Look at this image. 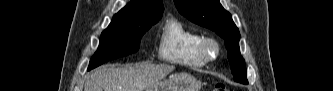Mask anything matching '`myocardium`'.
<instances>
[{"label":"myocardium","mask_w":333,"mask_h":91,"mask_svg":"<svg viewBox=\"0 0 333 91\" xmlns=\"http://www.w3.org/2000/svg\"><path fill=\"white\" fill-rule=\"evenodd\" d=\"M220 51L221 47L216 39L212 37L203 38L200 46V52L206 62L216 60L220 54Z\"/></svg>","instance_id":"obj_1"}]
</instances>
